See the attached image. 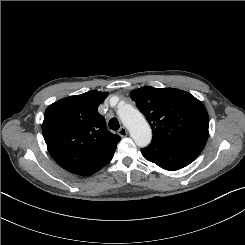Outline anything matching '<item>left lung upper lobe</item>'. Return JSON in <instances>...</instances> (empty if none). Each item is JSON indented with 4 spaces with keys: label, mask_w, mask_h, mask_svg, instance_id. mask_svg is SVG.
Instances as JSON below:
<instances>
[{
    "label": "left lung upper lobe",
    "mask_w": 245,
    "mask_h": 245,
    "mask_svg": "<svg viewBox=\"0 0 245 245\" xmlns=\"http://www.w3.org/2000/svg\"><path fill=\"white\" fill-rule=\"evenodd\" d=\"M130 96L153 131L152 140L200 154L208 138V113L198 99L173 88L142 87Z\"/></svg>",
    "instance_id": "obj_1"
}]
</instances>
